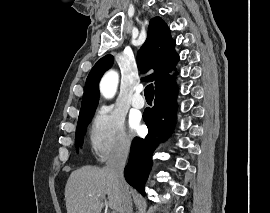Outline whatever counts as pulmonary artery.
Listing matches in <instances>:
<instances>
[{
	"label": "pulmonary artery",
	"mask_w": 270,
	"mask_h": 213,
	"mask_svg": "<svg viewBox=\"0 0 270 213\" xmlns=\"http://www.w3.org/2000/svg\"><path fill=\"white\" fill-rule=\"evenodd\" d=\"M132 105L137 109H141L145 105V100H144L143 96L141 95V88L140 87H137L135 89L134 95L132 97Z\"/></svg>",
	"instance_id": "e3ab8cb5"
}]
</instances>
